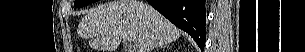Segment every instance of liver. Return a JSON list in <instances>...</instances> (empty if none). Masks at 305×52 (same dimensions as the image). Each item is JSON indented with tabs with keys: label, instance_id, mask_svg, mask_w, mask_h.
Returning <instances> with one entry per match:
<instances>
[{
	"label": "liver",
	"instance_id": "1",
	"mask_svg": "<svg viewBox=\"0 0 305 52\" xmlns=\"http://www.w3.org/2000/svg\"><path fill=\"white\" fill-rule=\"evenodd\" d=\"M78 35L89 39V46L114 52L122 40L133 41L137 52L179 39L180 30L147 3L114 0L91 9L78 26Z\"/></svg>",
	"mask_w": 305,
	"mask_h": 52
}]
</instances>
